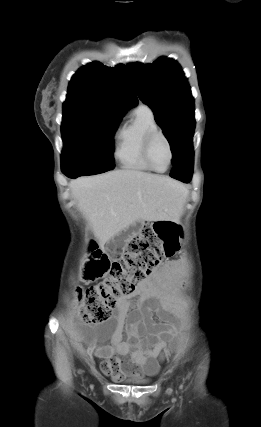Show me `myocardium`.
Here are the masks:
<instances>
[{
	"mask_svg": "<svg viewBox=\"0 0 261 427\" xmlns=\"http://www.w3.org/2000/svg\"><path fill=\"white\" fill-rule=\"evenodd\" d=\"M161 137L167 144L168 149H169V162L167 167L164 170H159L157 169L154 165L153 162L151 160V148L153 145V142L155 141L156 138ZM143 157L145 162L147 163V165L151 168V170L158 172V173H163L166 172L172 165L173 163V159H174V152H173V147L172 144L169 140V138L167 137V135L161 131L160 129H156L153 130L151 132H149L145 139H144V143H143Z\"/></svg>",
	"mask_w": 261,
	"mask_h": 427,
	"instance_id": "f54148a6",
	"label": "myocardium"
}]
</instances>
